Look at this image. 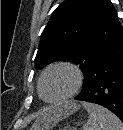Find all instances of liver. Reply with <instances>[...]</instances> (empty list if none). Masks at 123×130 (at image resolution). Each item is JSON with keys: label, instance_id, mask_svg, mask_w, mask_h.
I'll use <instances>...</instances> for the list:
<instances>
[{"label": "liver", "instance_id": "liver-1", "mask_svg": "<svg viewBox=\"0 0 123 130\" xmlns=\"http://www.w3.org/2000/svg\"><path fill=\"white\" fill-rule=\"evenodd\" d=\"M77 108L78 106L74 103H67L66 105L58 108L49 107L39 115L33 125V128L35 130H49L53 124L57 123L66 115L71 114Z\"/></svg>", "mask_w": 123, "mask_h": 130}]
</instances>
